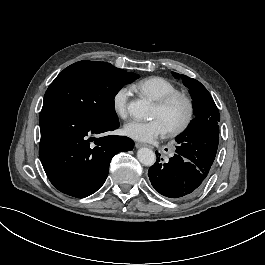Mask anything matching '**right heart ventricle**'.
Segmentation results:
<instances>
[{
  "mask_svg": "<svg viewBox=\"0 0 265 265\" xmlns=\"http://www.w3.org/2000/svg\"><path fill=\"white\" fill-rule=\"evenodd\" d=\"M130 88L136 93L147 96L155 102L178 91L177 87L171 81L162 76H149L137 79L130 85Z\"/></svg>",
  "mask_w": 265,
  "mask_h": 265,
  "instance_id": "obj_1",
  "label": "right heart ventricle"
}]
</instances>
